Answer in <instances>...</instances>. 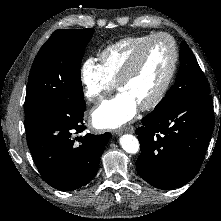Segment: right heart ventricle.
Segmentation results:
<instances>
[{"label": "right heart ventricle", "mask_w": 221, "mask_h": 221, "mask_svg": "<svg viewBox=\"0 0 221 221\" xmlns=\"http://www.w3.org/2000/svg\"><path fill=\"white\" fill-rule=\"evenodd\" d=\"M151 35L126 37L106 46L99 54L100 66L115 84L135 50Z\"/></svg>", "instance_id": "obj_1"}]
</instances>
